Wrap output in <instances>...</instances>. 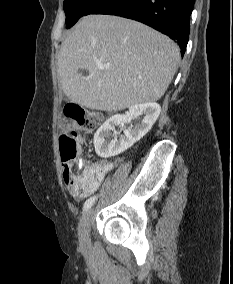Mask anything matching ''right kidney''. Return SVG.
<instances>
[{
	"instance_id": "1",
	"label": "right kidney",
	"mask_w": 233,
	"mask_h": 284,
	"mask_svg": "<svg viewBox=\"0 0 233 284\" xmlns=\"http://www.w3.org/2000/svg\"><path fill=\"white\" fill-rule=\"evenodd\" d=\"M161 107L157 103L136 104L129 108L126 115L116 114L107 119L94 135V147L98 156L108 158L116 156L145 136L158 119ZM137 119L138 122L124 131V136L119 139L111 131L115 126L130 123Z\"/></svg>"
}]
</instances>
